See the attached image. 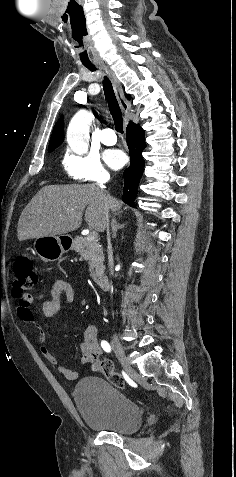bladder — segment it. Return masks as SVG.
Masks as SVG:
<instances>
[{
	"instance_id": "bladder-1",
	"label": "bladder",
	"mask_w": 236,
	"mask_h": 477,
	"mask_svg": "<svg viewBox=\"0 0 236 477\" xmlns=\"http://www.w3.org/2000/svg\"><path fill=\"white\" fill-rule=\"evenodd\" d=\"M74 400L85 424L96 430L132 434L142 426L140 406L103 378L80 380Z\"/></svg>"
}]
</instances>
